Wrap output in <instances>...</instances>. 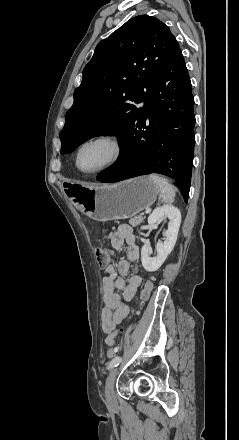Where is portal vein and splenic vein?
Segmentation results:
<instances>
[{
	"label": "portal vein and splenic vein",
	"instance_id": "obj_1",
	"mask_svg": "<svg viewBox=\"0 0 239 440\" xmlns=\"http://www.w3.org/2000/svg\"><path fill=\"white\" fill-rule=\"evenodd\" d=\"M152 207H150V208H147V211L145 212L146 214H149V212H151L152 211Z\"/></svg>",
	"mask_w": 239,
	"mask_h": 440
}]
</instances>
